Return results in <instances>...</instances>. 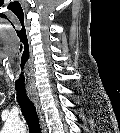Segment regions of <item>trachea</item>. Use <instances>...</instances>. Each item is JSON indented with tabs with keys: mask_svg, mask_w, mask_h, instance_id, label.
<instances>
[{
	"mask_svg": "<svg viewBox=\"0 0 120 133\" xmlns=\"http://www.w3.org/2000/svg\"><path fill=\"white\" fill-rule=\"evenodd\" d=\"M16 91L17 101L28 124L29 133H42L36 108L34 104L27 98L25 88H16Z\"/></svg>",
	"mask_w": 120,
	"mask_h": 133,
	"instance_id": "obj_1",
	"label": "trachea"
}]
</instances>
